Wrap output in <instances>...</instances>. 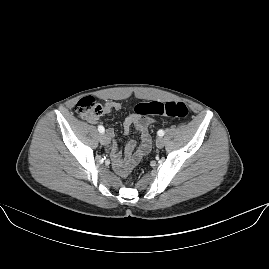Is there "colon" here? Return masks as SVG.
<instances>
[{"label": "colon", "mask_w": 269, "mask_h": 269, "mask_svg": "<svg viewBox=\"0 0 269 269\" xmlns=\"http://www.w3.org/2000/svg\"><path fill=\"white\" fill-rule=\"evenodd\" d=\"M102 106L92 97L81 98L76 105V113L80 117H98L102 113ZM137 115H155L169 118H185L188 114V108L183 102L175 101H152L150 103H139L134 107ZM144 150L148 151L151 140L147 135L143 138ZM128 172L129 167H123ZM125 172V173H126Z\"/></svg>", "instance_id": "1"}]
</instances>
